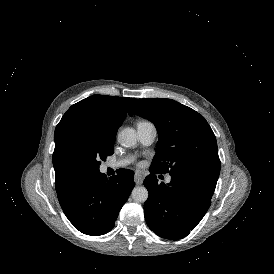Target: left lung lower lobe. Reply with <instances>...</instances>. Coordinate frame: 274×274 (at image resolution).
Returning <instances> with one entry per match:
<instances>
[{
  "instance_id": "0a47b994",
  "label": "left lung lower lobe",
  "mask_w": 274,
  "mask_h": 274,
  "mask_svg": "<svg viewBox=\"0 0 274 274\" xmlns=\"http://www.w3.org/2000/svg\"><path fill=\"white\" fill-rule=\"evenodd\" d=\"M144 180L149 197L145 220L158 236L177 240L189 234L207 212L217 179L201 174H170L171 182L158 183L155 173Z\"/></svg>"
}]
</instances>
